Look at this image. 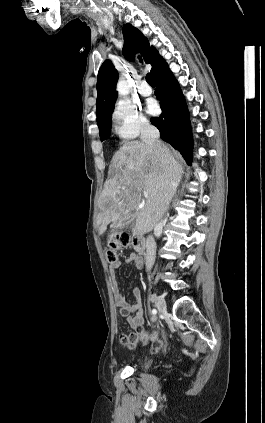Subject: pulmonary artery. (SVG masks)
<instances>
[{
    "instance_id": "pulmonary-artery-1",
    "label": "pulmonary artery",
    "mask_w": 265,
    "mask_h": 423,
    "mask_svg": "<svg viewBox=\"0 0 265 423\" xmlns=\"http://www.w3.org/2000/svg\"><path fill=\"white\" fill-rule=\"evenodd\" d=\"M138 91L143 96H149L152 93L151 87L145 81L141 82Z\"/></svg>"
}]
</instances>
